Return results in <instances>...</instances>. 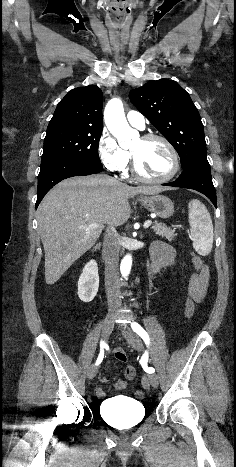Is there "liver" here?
I'll use <instances>...</instances> for the list:
<instances>
[{
	"instance_id": "6515ba94",
	"label": "liver",
	"mask_w": 236,
	"mask_h": 467,
	"mask_svg": "<svg viewBox=\"0 0 236 467\" xmlns=\"http://www.w3.org/2000/svg\"><path fill=\"white\" fill-rule=\"evenodd\" d=\"M166 189L132 187L104 175L72 177L57 184L37 210L46 283L57 282L95 244L102 228L89 229V225H123L130 217L129 198L136 194L155 195Z\"/></svg>"
}]
</instances>
